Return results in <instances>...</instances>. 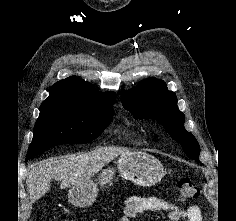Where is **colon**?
Wrapping results in <instances>:
<instances>
[{"label":"colon","instance_id":"colon-1","mask_svg":"<svg viewBox=\"0 0 236 221\" xmlns=\"http://www.w3.org/2000/svg\"><path fill=\"white\" fill-rule=\"evenodd\" d=\"M177 188L180 198L182 200H192L199 196L197 187L191 182L190 179L183 178L178 181ZM69 221V220H64Z\"/></svg>","mask_w":236,"mask_h":221}]
</instances>
